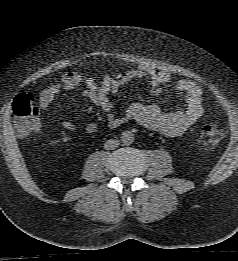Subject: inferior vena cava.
I'll return each mask as SVG.
<instances>
[{"mask_svg":"<svg viewBox=\"0 0 238 261\" xmlns=\"http://www.w3.org/2000/svg\"><path fill=\"white\" fill-rule=\"evenodd\" d=\"M119 145V141L117 139H109L104 143V149L113 150L117 148Z\"/></svg>","mask_w":238,"mask_h":261,"instance_id":"602c4592","label":"inferior vena cava"}]
</instances>
